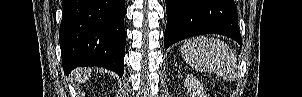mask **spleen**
<instances>
[{
	"label": "spleen",
	"instance_id": "1",
	"mask_svg": "<svg viewBox=\"0 0 302 97\" xmlns=\"http://www.w3.org/2000/svg\"><path fill=\"white\" fill-rule=\"evenodd\" d=\"M186 63L195 71L214 73L228 81L237 78V59L232 49L220 39L199 36L181 46Z\"/></svg>",
	"mask_w": 302,
	"mask_h": 97
}]
</instances>
